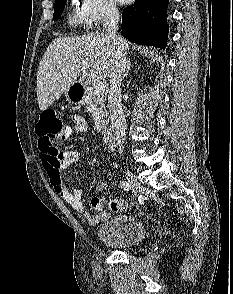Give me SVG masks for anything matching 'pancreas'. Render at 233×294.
<instances>
[{"mask_svg":"<svg viewBox=\"0 0 233 294\" xmlns=\"http://www.w3.org/2000/svg\"><path fill=\"white\" fill-rule=\"evenodd\" d=\"M82 103L85 105H95L100 114V125L101 129H105L107 126V112L105 109V95L104 93L97 94L94 92L92 87H86L85 95L83 97Z\"/></svg>","mask_w":233,"mask_h":294,"instance_id":"pancreas-1","label":"pancreas"}]
</instances>
